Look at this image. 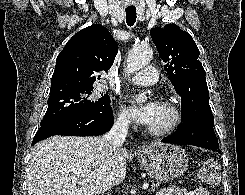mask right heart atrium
Here are the masks:
<instances>
[{
  "instance_id": "right-heart-atrium-1",
  "label": "right heart atrium",
  "mask_w": 245,
  "mask_h": 195,
  "mask_svg": "<svg viewBox=\"0 0 245 195\" xmlns=\"http://www.w3.org/2000/svg\"><path fill=\"white\" fill-rule=\"evenodd\" d=\"M131 122V116L126 108L119 106L115 115V123L120 127H127Z\"/></svg>"
}]
</instances>
